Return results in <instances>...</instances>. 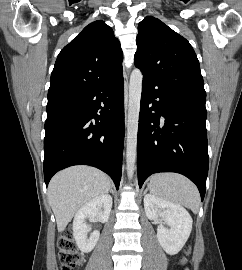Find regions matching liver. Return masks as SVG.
Segmentation results:
<instances>
[{
	"label": "liver",
	"instance_id": "1",
	"mask_svg": "<svg viewBox=\"0 0 242 270\" xmlns=\"http://www.w3.org/2000/svg\"><path fill=\"white\" fill-rule=\"evenodd\" d=\"M110 188V178L93 167L74 166L58 172L48 187V199L58 232L64 231L86 202L108 193Z\"/></svg>",
	"mask_w": 242,
	"mask_h": 270
}]
</instances>
